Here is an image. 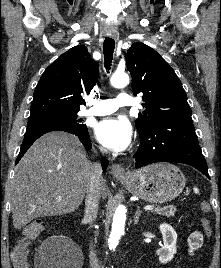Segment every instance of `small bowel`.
I'll return each mask as SVG.
<instances>
[{
	"mask_svg": "<svg viewBox=\"0 0 221 268\" xmlns=\"http://www.w3.org/2000/svg\"><path fill=\"white\" fill-rule=\"evenodd\" d=\"M203 235L200 231L196 230L192 232L188 239L189 253L192 255L194 252L202 246Z\"/></svg>",
	"mask_w": 221,
	"mask_h": 268,
	"instance_id": "c3829d8e",
	"label": "small bowel"
}]
</instances>
